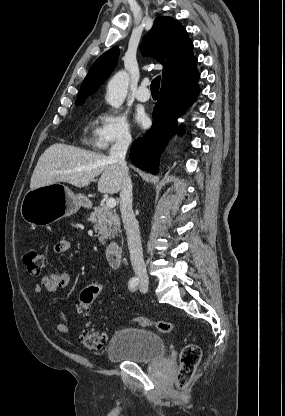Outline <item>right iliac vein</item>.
<instances>
[{
    "mask_svg": "<svg viewBox=\"0 0 285 416\" xmlns=\"http://www.w3.org/2000/svg\"><path fill=\"white\" fill-rule=\"evenodd\" d=\"M140 284H141V285H143V286H147V285H148V282H147L146 280H143V279H142V280L140 281Z\"/></svg>",
    "mask_w": 285,
    "mask_h": 416,
    "instance_id": "1",
    "label": "right iliac vein"
}]
</instances>
